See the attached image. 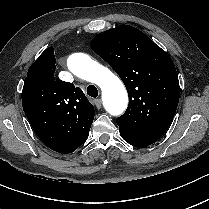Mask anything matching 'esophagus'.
<instances>
[{"label": "esophagus", "instance_id": "34e87169", "mask_svg": "<svg viewBox=\"0 0 209 209\" xmlns=\"http://www.w3.org/2000/svg\"><path fill=\"white\" fill-rule=\"evenodd\" d=\"M94 104L98 109H100L102 107V100L100 98H97L94 100Z\"/></svg>", "mask_w": 209, "mask_h": 209}]
</instances>
